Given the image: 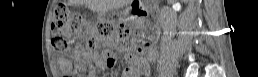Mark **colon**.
<instances>
[{"label":"colon","instance_id":"1","mask_svg":"<svg viewBox=\"0 0 258 77\" xmlns=\"http://www.w3.org/2000/svg\"><path fill=\"white\" fill-rule=\"evenodd\" d=\"M51 31L59 48L69 51L79 47L97 48L101 44L111 42L113 37L117 43H123L131 35L129 27L125 24L113 27L100 24L92 28L80 15L71 12L65 6L55 8ZM149 39L150 34L142 30L135 38L134 45L145 50L150 43Z\"/></svg>","mask_w":258,"mask_h":77}]
</instances>
